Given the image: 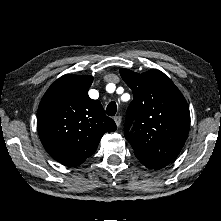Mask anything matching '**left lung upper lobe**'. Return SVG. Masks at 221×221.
Instances as JSON below:
<instances>
[{"label":"left lung upper lobe","instance_id":"1","mask_svg":"<svg viewBox=\"0 0 221 221\" xmlns=\"http://www.w3.org/2000/svg\"><path fill=\"white\" fill-rule=\"evenodd\" d=\"M120 74L134 96L125 125V137L134 153L173 162L189 132L190 112L185 98L159 70L138 74L121 69Z\"/></svg>","mask_w":221,"mask_h":221}]
</instances>
